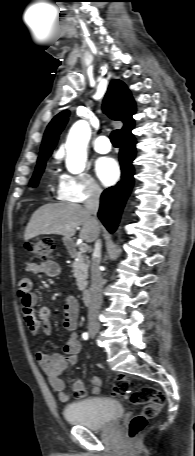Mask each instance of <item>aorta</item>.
Instances as JSON below:
<instances>
[{
    "label": "aorta",
    "mask_w": 195,
    "mask_h": 456,
    "mask_svg": "<svg viewBox=\"0 0 195 456\" xmlns=\"http://www.w3.org/2000/svg\"><path fill=\"white\" fill-rule=\"evenodd\" d=\"M91 129L87 121H77L70 129L66 141V167L72 174L84 171L87 161V145Z\"/></svg>",
    "instance_id": "762f6f07"
}]
</instances>
